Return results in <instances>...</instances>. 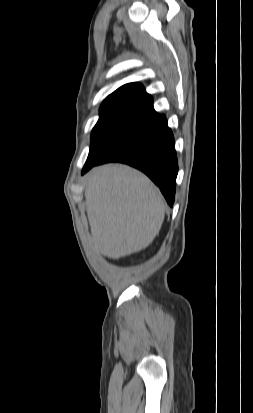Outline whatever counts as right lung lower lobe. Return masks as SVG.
<instances>
[{"mask_svg":"<svg viewBox=\"0 0 253 413\" xmlns=\"http://www.w3.org/2000/svg\"><path fill=\"white\" fill-rule=\"evenodd\" d=\"M107 162L126 163L141 170L160 188L167 203L173 205L178 162L174 137L166 118L152 131L119 148L96 165ZM91 168L82 170V174Z\"/></svg>","mask_w":253,"mask_h":413,"instance_id":"1","label":"right lung lower lobe"}]
</instances>
